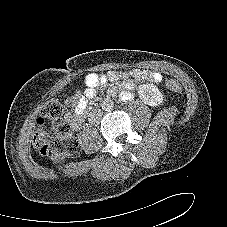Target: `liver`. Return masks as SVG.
<instances>
[{
  "label": "liver",
  "instance_id": "1",
  "mask_svg": "<svg viewBox=\"0 0 227 227\" xmlns=\"http://www.w3.org/2000/svg\"><path fill=\"white\" fill-rule=\"evenodd\" d=\"M51 159H52V160H54V159H56V157H54V158H53V157H51Z\"/></svg>",
  "mask_w": 227,
  "mask_h": 227
}]
</instances>
